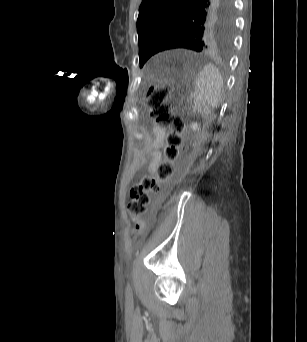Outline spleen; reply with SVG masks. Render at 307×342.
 Masks as SVG:
<instances>
[{"label":"spleen","mask_w":307,"mask_h":342,"mask_svg":"<svg viewBox=\"0 0 307 342\" xmlns=\"http://www.w3.org/2000/svg\"><path fill=\"white\" fill-rule=\"evenodd\" d=\"M223 88L222 76L213 64H207L197 74L194 84L193 102L198 107L196 114H215L216 108L221 100Z\"/></svg>","instance_id":"1"}]
</instances>
